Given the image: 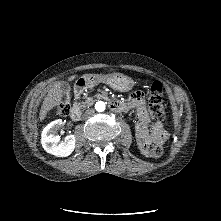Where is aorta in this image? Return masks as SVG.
Masks as SVG:
<instances>
[{
	"mask_svg": "<svg viewBox=\"0 0 221 221\" xmlns=\"http://www.w3.org/2000/svg\"><path fill=\"white\" fill-rule=\"evenodd\" d=\"M105 103L103 102V101H98V102H96V104H95V109H96V111H98V112H103L104 110H105Z\"/></svg>",
	"mask_w": 221,
	"mask_h": 221,
	"instance_id": "1",
	"label": "aorta"
}]
</instances>
